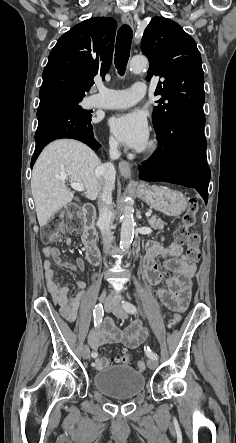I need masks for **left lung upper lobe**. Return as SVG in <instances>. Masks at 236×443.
I'll use <instances>...</instances> for the list:
<instances>
[{"label": "left lung upper lobe", "mask_w": 236, "mask_h": 443, "mask_svg": "<svg viewBox=\"0 0 236 443\" xmlns=\"http://www.w3.org/2000/svg\"><path fill=\"white\" fill-rule=\"evenodd\" d=\"M141 50L149 60L146 77L162 78L155 94L161 98L153 111V126L161 130L168 117L188 108H203L204 73L202 59L194 39L176 22L154 17L146 27Z\"/></svg>", "instance_id": "obj_1"}]
</instances>
